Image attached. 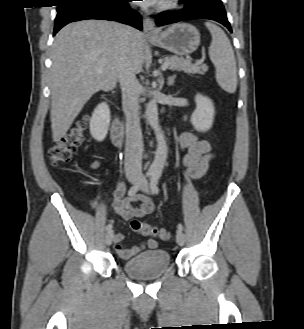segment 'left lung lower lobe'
I'll return each mask as SVG.
<instances>
[{
    "instance_id": "1",
    "label": "left lung lower lobe",
    "mask_w": 304,
    "mask_h": 329,
    "mask_svg": "<svg viewBox=\"0 0 304 329\" xmlns=\"http://www.w3.org/2000/svg\"><path fill=\"white\" fill-rule=\"evenodd\" d=\"M184 2V9L170 14H158L156 20L158 26L171 24L190 19H211L215 20L232 32L230 23L221 0H181Z\"/></svg>"
}]
</instances>
